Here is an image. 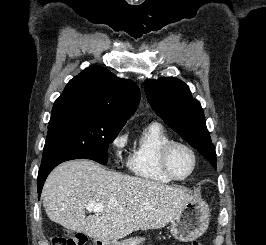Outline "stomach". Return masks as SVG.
<instances>
[{
	"label": "stomach",
	"instance_id": "0dacf381",
	"mask_svg": "<svg viewBox=\"0 0 266 245\" xmlns=\"http://www.w3.org/2000/svg\"><path fill=\"white\" fill-rule=\"evenodd\" d=\"M210 209L205 201L187 203L183 211L171 221V233L178 241H193L201 237L208 229ZM105 245V243H102ZM110 245H118L116 241Z\"/></svg>",
	"mask_w": 266,
	"mask_h": 245
}]
</instances>
